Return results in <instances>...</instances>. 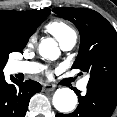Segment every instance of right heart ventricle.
<instances>
[{"instance_id": "e07e8e85", "label": "right heart ventricle", "mask_w": 117, "mask_h": 117, "mask_svg": "<svg viewBox=\"0 0 117 117\" xmlns=\"http://www.w3.org/2000/svg\"><path fill=\"white\" fill-rule=\"evenodd\" d=\"M47 30L53 34L58 41L66 38L67 36L74 34V30L65 22L52 21L47 25Z\"/></svg>"}]
</instances>
